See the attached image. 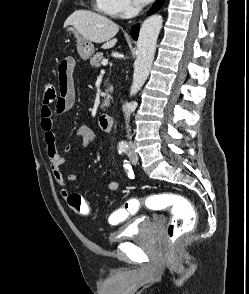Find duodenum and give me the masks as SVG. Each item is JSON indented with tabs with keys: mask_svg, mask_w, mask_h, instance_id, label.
<instances>
[{
	"mask_svg": "<svg viewBox=\"0 0 249 294\" xmlns=\"http://www.w3.org/2000/svg\"><path fill=\"white\" fill-rule=\"evenodd\" d=\"M98 127L105 132H109L113 127V118L109 114H102L97 118Z\"/></svg>",
	"mask_w": 249,
	"mask_h": 294,
	"instance_id": "1",
	"label": "duodenum"
}]
</instances>
